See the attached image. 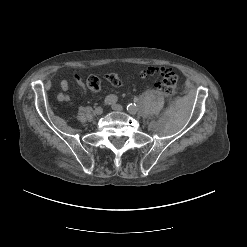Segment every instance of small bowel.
Here are the masks:
<instances>
[{
    "label": "small bowel",
    "mask_w": 247,
    "mask_h": 247,
    "mask_svg": "<svg viewBox=\"0 0 247 247\" xmlns=\"http://www.w3.org/2000/svg\"><path fill=\"white\" fill-rule=\"evenodd\" d=\"M73 79L80 86L84 87L83 80L78 74H74ZM60 88H61V92L58 94L57 99L62 102L68 101L70 99V95L68 94L69 81L67 79H63L60 83Z\"/></svg>",
    "instance_id": "small-bowel-1"
}]
</instances>
